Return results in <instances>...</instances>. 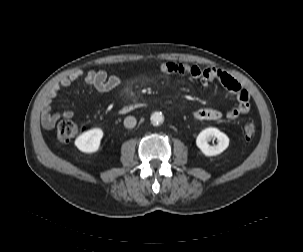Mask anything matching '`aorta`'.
<instances>
[{"label":"aorta","instance_id":"762f6f07","mask_svg":"<svg viewBox=\"0 0 303 252\" xmlns=\"http://www.w3.org/2000/svg\"><path fill=\"white\" fill-rule=\"evenodd\" d=\"M150 120H151L152 124L159 125V124L163 123L164 116H163V114L161 112H154L151 115Z\"/></svg>","mask_w":303,"mask_h":252}]
</instances>
